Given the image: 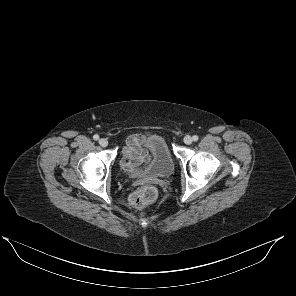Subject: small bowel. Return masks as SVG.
<instances>
[{"label":"small bowel","mask_w":296,"mask_h":296,"mask_svg":"<svg viewBox=\"0 0 296 296\" xmlns=\"http://www.w3.org/2000/svg\"><path fill=\"white\" fill-rule=\"evenodd\" d=\"M145 137L140 134L131 135L127 145L121 152V165L124 169L134 170L150 160L149 151L144 148Z\"/></svg>","instance_id":"obj_1"}]
</instances>
